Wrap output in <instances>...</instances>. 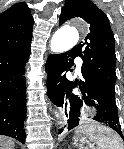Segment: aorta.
<instances>
[{
  "label": "aorta",
  "mask_w": 124,
  "mask_h": 149,
  "mask_svg": "<svg viewBox=\"0 0 124 149\" xmlns=\"http://www.w3.org/2000/svg\"><path fill=\"white\" fill-rule=\"evenodd\" d=\"M79 33L75 27L69 24L60 27L53 35L51 48L58 52L69 50L77 44ZM58 116V115H57Z\"/></svg>",
  "instance_id": "aorta-1"
}]
</instances>
